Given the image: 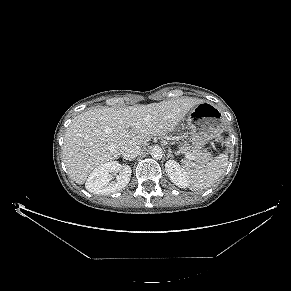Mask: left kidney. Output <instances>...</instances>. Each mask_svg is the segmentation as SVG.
I'll use <instances>...</instances> for the list:
<instances>
[{
	"instance_id": "5707ae66",
	"label": "left kidney",
	"mask_w": 291,
	"mask_h": 291,
	"mask_svg": "<svg viewBox=\"0 0 291 291\" xmlns=\"http://www.w3.org/2000/svg\"><path fill=\"white\" fill-rule=\"evenodd\" d=\"M165 170L172 183L180 188L188 186V176L183 168L175 160H169L165 163Z\"/></svg>"
}]
</instances>
